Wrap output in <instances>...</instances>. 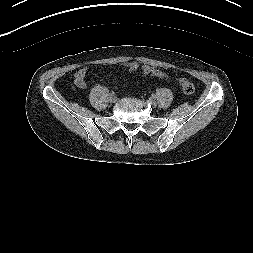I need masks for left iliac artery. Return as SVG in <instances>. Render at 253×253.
<instances>
[{
    "label": "left iliac artery",
    "instance_id": "44dca946",
    "mask_svg": "<svg viewBox=\"0 0 253 253\" xmlns=\"http://www.w3.org/2000/svg\"><path fill=\"white\" fill-rule=\"evenodd\" d=\"M150 98H151L152 100H155V99L157 98V95H156L155 93H152V94L150 95Z\"/></svg>",
    "mask_w": 253,
    "mask_h": 253
}]
</instances>
